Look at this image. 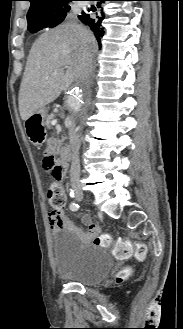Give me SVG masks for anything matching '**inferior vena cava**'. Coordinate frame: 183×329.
Listing matches in <instances>:
<instances>
[{
	"label": "inferior vena cava",
	"instance_id": "602c4592",
	"mask_svg": "<svg viewBox=\"0 0 183 329\" xmlns=\"http://www.w3.org/2000/svg\"><path fill=\"white\" fill-rule=\"evenodd\" d=\"M81 63V77L80 82L85 85L91 75L93 69V57L88 50H84L80 57ZM69 140L72 151V162L70 169L71 182L77 184L80 178V161H79V150L81 146L80 136L75 124H72L69 129Z\"/></svg>",
	"mask_w": 183,
	"mask_h": 329
}]
</instances>
